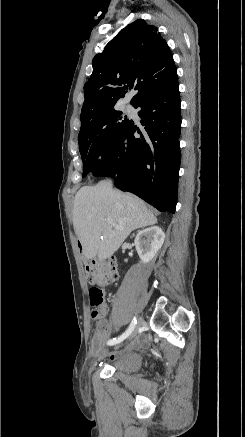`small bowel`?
Segmentation results:
<instances>
[{"instance_id":"small-bowel-1","label":"small bowel","mask_w":245,"mask_h":437,"mask_svg":"<svg viewBox=\"0 0 245 437\" xmlns=\"http://www.w3.org/2000/svg\"><path fill=\"white\" fill-rule=\"evenodd\" d=\"M100 316L104 315L105 309H101L99 311ZM111 329L109 322L106 319L101 318L98 321L97 324V330L93 336L92 339V347H91V353L93 356H99L104 353L105 351V341L109 338L111 335ZM116 354H112V357H115Z\"/></svg>"}]
</instances>
